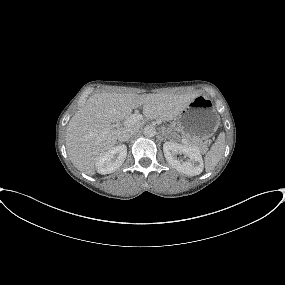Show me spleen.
<instances>
[{"mask_svg":"<svg viewBox=\"0 0 285 285\" xmlns=\"http://www.w3.org/2000/svg\"><path fill=\"white\" fill-rule=\"evenodd\" d=\"M225 149V133H220L216 142L212 145L210 151L205 156V170H213L223 156Z\"/></svg>","mask_w":285,"mask_h":285,"instance_id":"obj_1","label":"spleen"}]
</instances>
